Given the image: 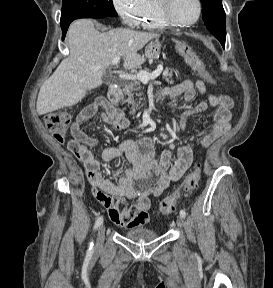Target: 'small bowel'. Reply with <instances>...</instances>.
<instances>
[{
	"label": "small bowel",
	"instance_id": "1",
	"mask_svg": "<svg viewBox=\"0 0 273 288\" xmlns=\"http://www.w3.org/2000/svg\"><path fill=\"white\" fill-rule=\"evenodd\" d=\"M197 93L205 95L207 100L186 107L179 119V129L185 130L189 116L212 107V128L198 140L202 147L207 148L229 131L234 106L232 98L208 94L203 80H184L162 91L170 99L182 97L187 104L195 99ZM99 114L116 131L129 126L122 112L111 110L104 101H96L77 116L71 129L72 139L68 149L83 165L93 195L107 209L110 220L120 227L144 226L149 221L150 198L161 195L172 183L181 179L192 164L193 145H183L175 154L171 151L156 154L150 139L143 137L136 141L127 139L116 147H108L101 153L102 161L108 162L125 156L131 163L124 175L113 182L100 171V162L92 152L96 141L86 133L89 121ZM125 200L134 201V205L119 209L118 204Z\"/></svg>",
	"mask_w": 273,
	"mask_h": 288
}]
</instances>
